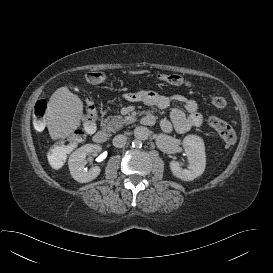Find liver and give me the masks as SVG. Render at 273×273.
<instances>
[{"label":"liver","instance_id":"1","mask_svg":"<svg viewBox=\"0 0 273 273\" xmlns=\"http://www.w3.org/2000/svg\"><path fill=\"white\" fill-rule=\"evenodd\" d=\"M83 102L67 87L57 89L49 99L46 121L52 140L70 136L81 124Z\"/></svg>","mask_w":273,"mask_h":273}]
</instances>
